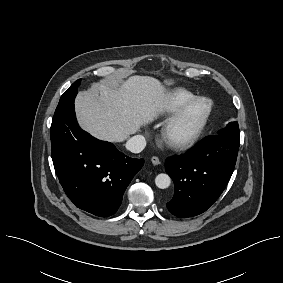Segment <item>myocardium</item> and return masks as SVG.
Segmentation results:
<instances>
[{"instance_id": "f54148a6", "label": "myocardium", "mask_w": 283, "mask_h": 283, "mask_svg": "<svg viewBox=\"0 0 283 283\" xmlns=\"http://www.w3.org/2000/svg\"><path fill=\"white\" fill-rule=\"evenodd\" d=\"M200 102H206L207 108L197 125L189 132L182 133L181 125L188 117L190 111ZM213 110V103L207 97H195L179 109L165 124L162 130L164 142L173 149L184 150L193 146L203 135Z\"/></svg>"}]
</instances>
